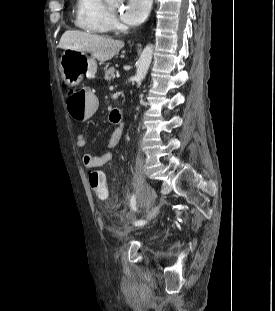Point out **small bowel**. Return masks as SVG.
<instances>
[{
    "label": "small bowel",
    "instance_id": "obj_1",
    "mask_svg": "<svg viewBox=\"0 0 275 311\" xmlns=\"http://www.w3.org/2000/svg\"><path fill=\"white\" fill-rule=\"evenodd\" d=\"M97 107L95 108V112ZM122 113L119 111L111 113L106 119V126H115L109 140L106 143V150L98 155L86 153L82 156L83 164L88 169L101 167L112 159V149H114L123 134V119ZM75 144L77 147H85L87 145V136L83 132H78L75 135Z\"/></svg>",
    "mask_w": 275,
    "mask_h": 311
}]
</instances>
